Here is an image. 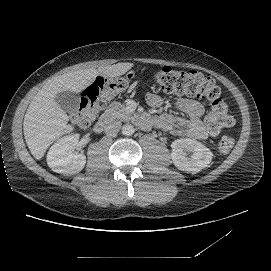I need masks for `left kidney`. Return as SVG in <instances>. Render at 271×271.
Listing matches in <instances>:
<instances>
[{
    "label": "left kidney",
    "instance_id": "left-kidney-1",
    "mask_svg": "<svg viewBox=\"0 0 271 271\" xmlns=\"http://www.w3.org/2000/svg\"><path fill=\"white\" fill-rule=\"evenodd\" d=\"M171 147L172 160L175 166L181 170L199 172L212 159L211 151L197 140L181 138L173 141Z\"/></svg>",
    "mask_w": 271,
    "mask_h": 271
}]
</instances>
